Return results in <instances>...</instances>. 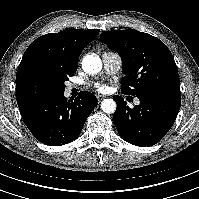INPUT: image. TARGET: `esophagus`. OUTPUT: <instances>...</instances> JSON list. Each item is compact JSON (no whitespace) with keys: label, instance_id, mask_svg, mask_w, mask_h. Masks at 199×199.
Listing matches in <instances>:
<instances>
[{"label":"esophagus","instance_id":"1","mask_svg":"<svg viewBox=\"0 0 199 199\" xmlns=\"http://www.w3.org/2000/svg\"><path fill=\"white\" fill-rule=\"evenodd\" d=\"M104 98H106V96L101 95V94H97V99H98L99 101H102Z\"/></svg>","mask_w":199,"mask_h":199}]
</instances>
